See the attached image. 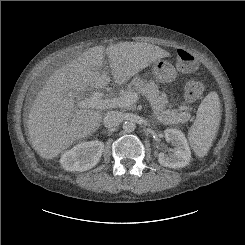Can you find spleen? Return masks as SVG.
<instances>
[{"mask_svg": "<svg viewBox=\"0 0 245 245\" xmlns=\"http://www.w3.org/2000/svg\"><path fill=\"white\" fill-rule=\"evenodd\" d=\"M221 120L218 94L210 92L199 105L194 124L189 130L190 145L199 157L207 154L215 139Z\"/></svg>", "mask_w": 245, "mask_h": 245, "instance_id": "3e777b00", "label": "spleen"}]
</instances>
